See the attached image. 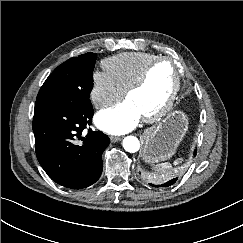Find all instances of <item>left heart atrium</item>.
<instances>
[{
  "label": "left heart atrium",
  "instance_id": "obj_1",
  "mask_svg": "<svg viewBox=\"0 0 243 243\" xmlns=\"http://www.w3.org/2000/svg\"><path fill=\"white\" fill-rule=\"evenodd\" d=\"M143 114L129 99L100 110L95 117L97 126L111 134H123L135 128Z\"/></svg>",
  "mask_w": 243,
  "mask_h": 243
}]
</instances>
